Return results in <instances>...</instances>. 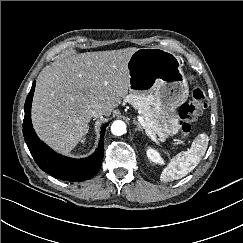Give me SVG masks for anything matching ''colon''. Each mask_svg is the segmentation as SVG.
Here are the masks:
<instances>
[{
  "label": "colon",
  "instance_id": "obj_1",
  "mask_svg": "<svg viewBox=\"0 0 243 243\" xmlns=\"http://www.w3.org/2000/svg\"><path fill=\"white\" fill-rule=\"evenodd\" d=\"M190 80L193 83L191 100L180 105L175 113V125L183 135L189 134L190 124L208 106V99L203 88L193 77Z\"/></svg>",
  "mask_w": 243,
  "mask_h": 243
}]
</instances>
